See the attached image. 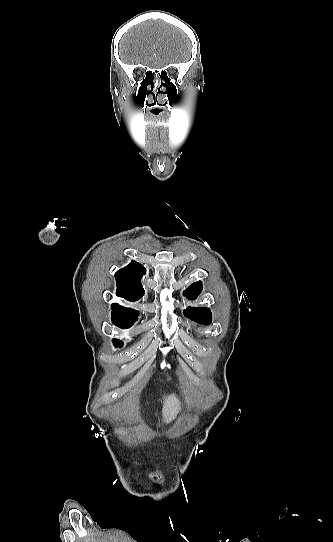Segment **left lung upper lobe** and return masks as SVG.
I'll use <instances>...</instances> for the list:
<instances>
[{
	"label": "left lung upper lobe",
	"mask_w": 333,
	"mask_h": 542,
	"mask_svg": "<svg viewBox=\"0 0 333 542\" xmlns=\"http://www.w3.org/2000/svg\"><path fill=\"white\" fill-rule=\"evenodd\" d=\"M201 291H202V282L198 281L190 285L184 291V295L188 299L193 300L200 294ZM184 314L186 317L190 318L191 320L199 324L209 325L212 322V313L210 309L208 308L188 307L186 310H184Z\"/></svg>",
	"instance_id": "obj_1"
}]
</instances>
